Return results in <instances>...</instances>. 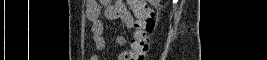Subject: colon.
<instances>
[{
  "label": "colon",
  "instance_id": "1",
  "mask_svg": "<svg viewBox=\"0 0 267 60\" xmlns=\"http://www.w3.org/2000/svg\"><path fill=\"white\" fill-rule=\"evenodd\" d=\"M134 14V25L137 27L132 42V60H145L150 50V36L156 28V16L151 1L130 0Z\"/></svg>",
  "mask_w": 267,
  "mask_h": 60
}]
</instances>
